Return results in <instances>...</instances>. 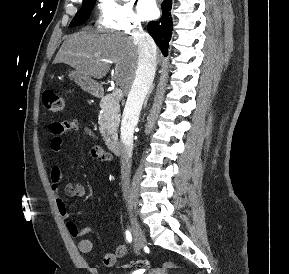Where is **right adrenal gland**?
Instances as JSON below:
<instances>
[{"mask_svg": "<svg viewBox=\"0 0 289 274\" xmlns=\"http://www.w3.org/2000/svg\"><path fill=\"white\" fill-rule=\"evenodd\" d=\"M153 89H154V85L151 86V88H150V90H149V92L147 94V97H146L145 102H144V108H146V106H147L149 96L152 93Z\"/></svg>", "mask_w": 289, "mask_h": 274, "instance_id": "1", "label": "right adrenal gland"}]
</instances>
